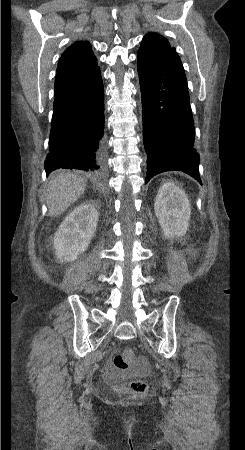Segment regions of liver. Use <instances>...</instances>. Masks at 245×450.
Masks as SVG:
<instances>
[{
	"mask_svg": "<svg viewBox=\"0 0 245 450\" xmlns=\"http://www.w3.org/2000/svg\"><path fill=\"white\" fill-rule=\"evenodd\" d=\"M86 189V181L70 172H58L46 188V202L51 217L59 216L73 204Z\"/></svg>",
	"mask_w": 245,
	"mask_h": 450,
	"instance_id": "liver-1",
	"label": "liver"
}]
</instances>
